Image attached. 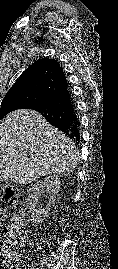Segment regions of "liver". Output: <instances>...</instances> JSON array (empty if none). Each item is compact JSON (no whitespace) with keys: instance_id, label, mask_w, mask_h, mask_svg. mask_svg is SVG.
Segmentation results:
<instances>
[{"instance_id":"6515ba94","label":"liver","mask_w":118,"mask_h":269,"mask_svg":"<svg viewBox=\"0 0 118 269\" xmlns=\"http://www.w3.org/2000/svg\"><path fill=\"white\" fill-rule=\"evenodd\" d=\"M78 159L75 144L36 111L16 110L0 121V180L28 184L70 172Z\"/></svg>"}]
</instances>
